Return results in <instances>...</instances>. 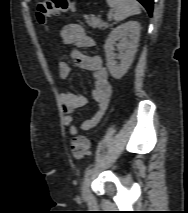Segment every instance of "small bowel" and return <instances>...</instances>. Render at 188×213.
Instances as JSON below:
<instances>
[{"mask_svg": "<svg viewBox=\"0 0 188 213\" xmlns=\"http://www.w3.org/2000/svg\"><path fill=\"white\" fill-rule=\"evenodd\" d=\"M61 44L70 49V56L74 63L84 69L93 72L94 89L92 91L93 99L97 104L95 114L82 122L80 129L89 131L94 128L104 117L112 95V86L109 81L107 69L102 64L99 55H87L78 50V48H91L94 45L92 37L79 24H67L60 32ZM58 73L62 79L69 77L71 66L61 61L58 65ZM61 104L64 112L63 122L67 126L69 133L76 136L79 127L74 123V111L87 104V98L82 94L63 92L60 95Z\"/></svg>", "mask_w": 188, "mask_h": 213, "instance_id": "1", "label": "small bowel"}]
</instances>
